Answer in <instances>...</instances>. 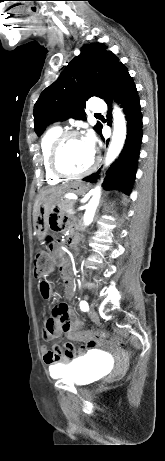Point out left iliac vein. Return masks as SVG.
Masks as SVG:
<instances>
[{
    "instance_id": "left-iliac-vein-1",
    "label": "left iliac vein",
    "mask_w": 165,
    "mask_h": 461,
    "mask_svg": "<svg viewBox=\"0 0 165 461\" xmlns=\"http://www.w3.org/2000/svg\"><path fill=\"white\" fill-rule=\"evenodd\" d=\"M88 314L92 321L96 322L99 320L98 314L93 308L89 310Z\"/></svg>"
}]
</instances>
